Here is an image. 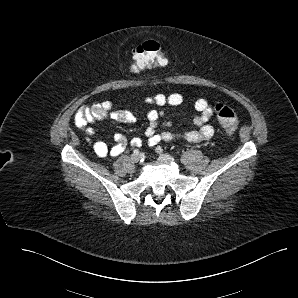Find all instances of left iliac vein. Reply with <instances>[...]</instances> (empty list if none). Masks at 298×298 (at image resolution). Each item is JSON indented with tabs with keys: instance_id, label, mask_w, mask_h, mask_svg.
I'll list each match as a JSON object with an SVG mask.
<instances>
[{
	"instance_id": "1",
	"label": "left iliac vein",
	"mask_w": 298,
	"mask_h": 298,
	"mask_svg": "<svg viewBox=\"0 0 298 298\" xmlns=\"http://www.w3.org/2000/svg\"><path fill=\"white\" fill-rule=\"evenodd\" d=\"M159 159L163 162H173L174 158L168 154H161L159 156Z\"/></svg>"
}]
</instances>
